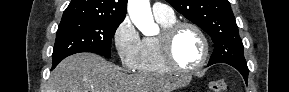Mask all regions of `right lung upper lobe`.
<instances>
[{"label":"right lung upper lobe","instance_id":"right-lung-upper-lobe-1","mask_svg":"<svg viewBox=\"0 0 289 92\" xmlns=\"http://www.w3.org/2000/svg\"><path fill=\"white\" fill-rule=\"evenodd\" d=\"M127 0H72L62 20L84 19L122 22L126 16Z\"/></svg>","mask_w":289,"mask_h":92}]
</instances>
